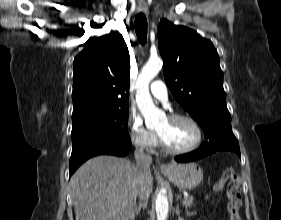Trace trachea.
Returning <instances> with one entry per match:
<instances>
[{
	"mask_svg": "<svg viewBox=\"0 0 281 220\" xmlns=\"http://www.w3.org/2000/svg\"><path fill=\"white\" fill-rule=\"evenodd\" d=\"M135 31L139 42L144 45L147 41V19L143 14H138L135 18Z\"/></svg>",
	"mask_w": 281,
	"mask_h": 220,
	"instance_id": "3493384b",
	"label": "trachea"
}]
</instances>
